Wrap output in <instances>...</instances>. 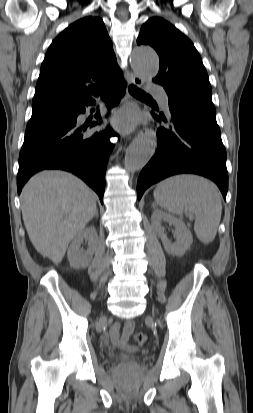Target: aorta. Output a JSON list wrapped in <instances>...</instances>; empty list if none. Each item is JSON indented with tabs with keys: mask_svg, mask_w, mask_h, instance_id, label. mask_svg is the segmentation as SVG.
I'll return each instance as SVG.
<instances>
[{
	"mask_svg": "<svg viewBox=\"0 0 253 413\" xmlns=\"http://www.w3.org/2000/svg\"><path fill=\"white\" fill-rule=\"evenodd\" d=\"M134 71L142 78L151 79L157 75L159 60L156 52L149 46H137L131 56ZM157 146L153 132H148L133 141L125 156V166L131 171L142 169L155 153Z\"/></svg>",
	"mask_w": 253,
	"mask_h": 413,
	"instance_id": "obj_1",
	"label": "aorta"
}]
</instances>
